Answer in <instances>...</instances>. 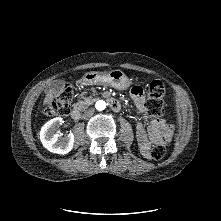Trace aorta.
<instances>
[{"label":"aorta","mask_w":221,"mask_h":221,"mask_svg":"<svg viewBox=\"0 0 221 221\" xmlns=\"http://www.w3.org/2000/svg\"><path fill=\"white\" fill-rule=\"evenodd\" d=\"M95 107L98 111H102L106 108V103L103 100H98L95 104Z\"/></svg>","instance_id":"aorta-1"}]
</instances>
